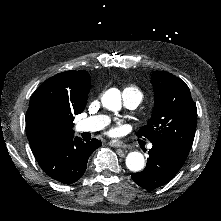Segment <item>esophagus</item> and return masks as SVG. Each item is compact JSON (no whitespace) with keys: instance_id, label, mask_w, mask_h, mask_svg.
I'll return each instance as SVG.
<instances>
[{"instance_id":"1","label":"esophagus","mask_w":221,"mask_h":221,"mask_svg":"<svg viewBox=\"0 0 221 221\" xmlns=\"http://www.w3.org/2000/svg\"><path fill=\"white\" fill-rule=\"evenodd\" d=\"M109 145L114 148H125L126 147V144H124L118 140H111L109 142Z\"/></svg>"}]
</instances>
